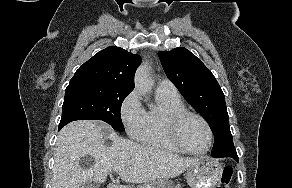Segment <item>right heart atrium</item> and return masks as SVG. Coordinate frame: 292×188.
Instances as JSON below:
<instances>
[{
	"label": "right heart atrium",
	"instance_id": "1",
	"mask_svg": "<svg viewBox=\"0 0 292 188\" xmlns=\"http://www.w3.org/2000/svg\"><path fill=\"white\" fill-rule=\"evenodd\" d=\"M145 109L137 90H132L121 102L120 119L131 137H137L145 121Z\"/></svg>",
	"mask_w": 292,
	"mask_h": 188
}]
</instances>
